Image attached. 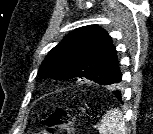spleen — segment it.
<instances>
[{
	"label": "spleen",
	"mask_w": 153,
	"mask_h": 134,
	"mask_svg": "<svg viewBox=\"0 0 153 134\" xmlns=\"http://www.w3.org/2000/svg\"><path fill=\"white\" fill-rule=\"evenodd\" d=\"M125 121L119 109L108 110L98 126L99 134H125Z\"/></svg>",
	"instance_id": "obj_1"
}]
</instances>
